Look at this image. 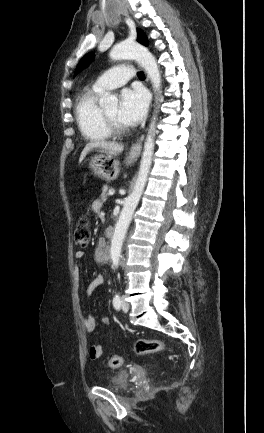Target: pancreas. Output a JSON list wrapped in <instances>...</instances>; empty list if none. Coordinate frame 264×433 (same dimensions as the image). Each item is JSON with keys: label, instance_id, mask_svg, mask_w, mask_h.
<instances>
[{"label": "pancreas", "instance_id": "1", "mask_svg": "<svg viewBox=\"0 0 264 433\" xmlns=\"http://www.w3.org/2000/svg\"><path fill=\"white\" fill-rule=\"evenodd\" d=\"M109 189H110V188H109L108 185H104V186H103V188H102V193H101V195H100V200H101L102 202H105V201L107 200V198H108V196H109V194L107 193V191H108Z\"/></svg>", "mask_w": 264, "mask_h": 433}]
</instances>
